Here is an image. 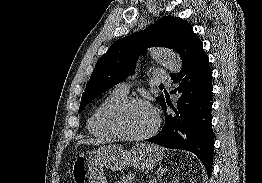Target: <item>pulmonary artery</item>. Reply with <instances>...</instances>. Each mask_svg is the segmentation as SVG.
<instances>
[{
	"label": "pulmonary artery",
	"mask_w": 262,
	"mask_h": 183,
	"mask_svg": "<svg viewBox=\"0 0 262 183\" xmlns=\"http://www.w3.org/2000/svg\"><path fill=\"white\" fill-rule=\"evenodd\" d=\"M153 79L155 82H162L168 85H172V80L167 77V76H163L159 73H155L153 76ZM129 88H130V84L128 82H122L119 83L116 87H115V91L123 94V95H127V93L129 92Z\"/></svg>",
	"instance_id": "pulmonary-artery-1"
}]
</instances>
